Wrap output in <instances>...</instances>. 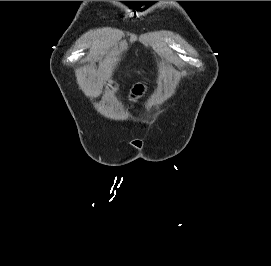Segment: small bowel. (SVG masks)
<instances>
[{"label":"small bowel","instance_id":"c3829d8e","mask_svg":"<svg viewBox=\"0 0 271 266\" xmlns=\"http://www.w3.org/2000/svg\"><path fill=\"white\" fill-rule=\"evenodd\" d=\"M144 90L143 85H136L131 91L130 101L135 102V100L144 93Z\"/></svg>","mask_w":271,"mask_h":266}]
</instances>
